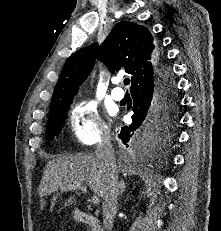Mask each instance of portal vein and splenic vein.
I'll use <instances>...</instances> for the list:
<instances>
[{"label": "portal vein and splenic vein", "instance_id": "obj_1", "mask_svg": "<svg viewBox=\"0 0 221 231\" xmlns=\"http://www.w3.org/2000/svg\"><path fill=\"white\" fill-rule=\"evenodd\" d=\"M65 188H62L61 190H64ZM70 189H72V190H76V189H79V190H82L83 192H87V189H86V187H84V186H71L70 187ZM91 202H92V204H98L99 203V197L98 196H92L91 197Z\"/></svg>", "mask_w": 221, "mask_h": 231}]
</instances>
